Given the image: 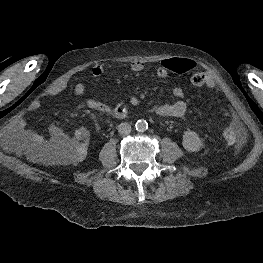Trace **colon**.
Listing matches in <instances>:
<instances>
[{"label":"colon","instance_id":"5ec220e1","mask_svg":"<svg viewBox=\"0 0 263 263\" xmlns=\"http://www.w3.org/2000/svg\"><path fill=\"white\" fill-rule=\"evenodd\" d=\"M166 66L178 75L188 73L191 70V63L182 58H172L166 62ZM191 82L196 87H207L216 89L212 78L203 72L196 73L192 76ZM224 138L229 145L240 148L246 141V134L243 128L236 123H231L224 129ZM85 140L81 138H73L56 148L49 155L54 158H61L69 161H74L84 154Z\"/></svg>","mask_w":263,"mask_h":263}]
</instances>
